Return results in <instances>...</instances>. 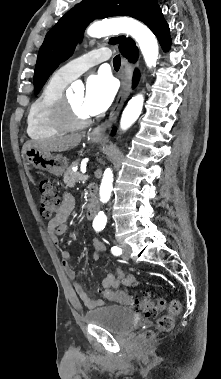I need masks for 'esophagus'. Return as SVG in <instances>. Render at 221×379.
Returning <instances> with one entry per match:
<instances>
[{
    "instance_id": "obj_1",
    "label": "esophagus",
    "mask_w": 221,
    "mask_h": 379,
    "mask_svg": "<svg viewBox=\"0 0 221 379\" xmlns=\"http://www.w3.org/2000/svg\"><path fill=\"white\" fill-rule=\"evenodd\" d=\"M121 87L118 92L114 106L108 116V118L93 129L91 136L99 137L105 135L106 131L112 126L116 120L120 110L122 109L130 91V67L126 58L121 57V69H120Z\"/></svg>"
}]
</instances>
